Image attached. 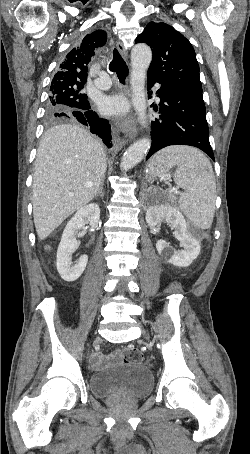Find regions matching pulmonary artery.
Returning <instances> with one entry per match:
<instances>
[{
	"mask_svg": "<svg viewBox=\"0 0 250 454\" xmlns=\"http://www.w3.org/2000/svg\"><path fill=\"white\" fill-rule=\"evenodd\" d=\"M94 85L100 90H107L111 87V80L106 74H100L99 77L94 80Z\"/></svg>",
	"mask_w": 250,
	"mask_h": 454,
	"instance_id": "1",
	"label": "pulmonary artery"
}]
</instances>
